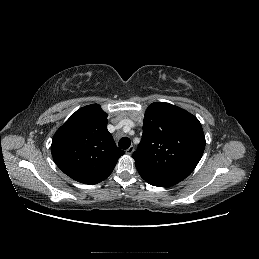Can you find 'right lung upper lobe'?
Here are the masks:
<instances>
[{
	"mask_svg": "<svg viewBox=\"0 0 259 259\" xmlns=\"http://www.w3.org/2000/svg\"><path fill=\"white\" fill-rule=\"evenodd\" d=\"M51 152L61 171L90 185L105 180L124 154L108 132L107 114L98 104L70 116L55 133Z\"/></svg>",
	"mask_w": 259,
	"mask_h": 259,
	"instance_id": "1",
	"label": "right lung upper lobe"
}]
</instances>
